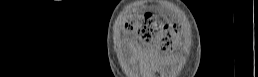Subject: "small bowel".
Masks as SVG:
<instances>
[{
    "label": "small bowel",
    "mask_w": 258,
    "mask_h": 77,
    "mask_svg": "<svg viewBox=\"0 0 258 77\" xmlns=\"http://www.w3.org/2000/svg\"><path fill=\"white\" fill-rule=\"evenodd\" d=\"M130 47L136 53L142 52L141 48L137 45V43L135 41H130Z\"/></svg>",
    "instance_id": "1"
}]
</instances>
